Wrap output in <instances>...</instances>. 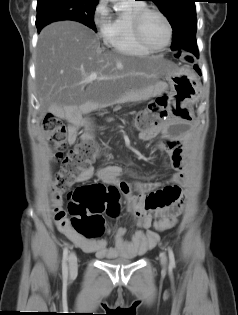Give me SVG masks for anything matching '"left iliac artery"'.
I'll return each instance as SVG.
<instances>
[{
	"instance_id": "obj_1",
	"label": "left iliac artery",
	"mask_w": 238,
	"mask_h": 315,
	"mask_svg": "<svg viewBox=\"0 0 238 315\" xmlns=\"http://www.w3.org/2000/svg\"><path fill=\"white\" fill-rule=\"evenodd\" d=\"M168 255H169V266L170 268H175L176 263H175V256L174 252L171 247H168Z\"/></svg>"
}]
</instances>
